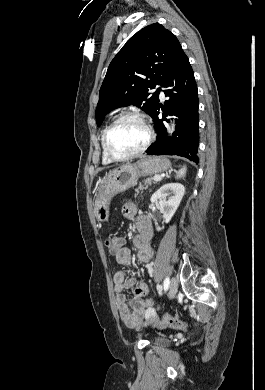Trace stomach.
Masks as SVG:
<instances>
[{"label":"stomach","mask_w":265,"mask_h":390,"mask_svg":"<svg viewBox=\"0 0 265 390\" xmlns=\"http://www.w3.org/2000/svg\"><path fill=\"white\" fill-rule=\"evenodd\" d=\"M169 168L170 161L167 158L152 156L109 172L100 183L95 196L94 212L98 221L108 220L111 199L136 185L140 176L159 174Z\"/></svg>","instance_id":"obj_1"}]
</instances>
